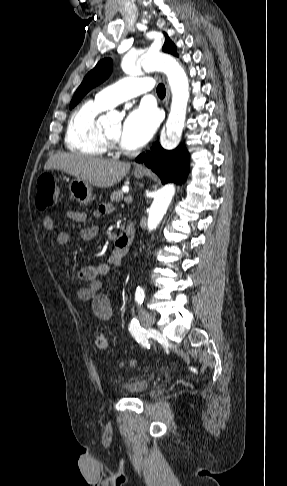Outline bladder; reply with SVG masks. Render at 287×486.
Here are the masks:
<instances>
[{"label": "bladder", "mask_w": 287, "mask_h": 486, "mask_svg": "<svg viewBox=\"0 0 287 486\" xmlns=\"http://www.w3.org/2000/svg\"><path fill=\"white\" fill-rule=\"evenodd\" d=\"M149 387V382L144 379H136L120 383V388L127 394L139 395L144 393Z\"/></svg>", "instance_id": "bladder-1"}]
</instances>
